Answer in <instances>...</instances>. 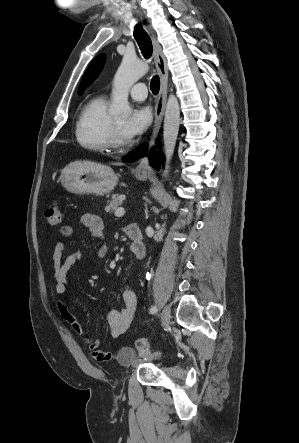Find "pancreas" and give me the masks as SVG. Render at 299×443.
Here are the masks:
<instances>
[{
	"label": "pancreas",
	"mask_w": 299,
	"mask_h": 443,
	"mask_svg": "<svg viewBox=\"0 0 299 443\" xmlns=\"http://www.w3.org/2000/svg\"><path fill=\"white\" fill-rule=\"evenodd\" d=\"M122 201H123L122 195L116 194L112 196L111 200L108 201V204L105 207V211L113 213L122 205Z\"/></svg>",
	"instance_id": "1"
}]
</instances>
